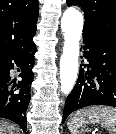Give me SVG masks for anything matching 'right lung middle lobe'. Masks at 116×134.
Wrapping results in <instances>:
<instances>
[{
    "label": "right lung middle lobe",
    "mask_w": 116,
    "mask_h": 134,
    "mask_svg": "<svg viewBox=\"0 0 116 134\" xmlns=\"http://www.w3.org/2000/svg\"><path fill=\"white\" fill-rule=\"evenodd\" d=\"M4 67L0 64V73H3Z\"/></svg>",
    "instance_id": "obj_1"
}]
</instances>
